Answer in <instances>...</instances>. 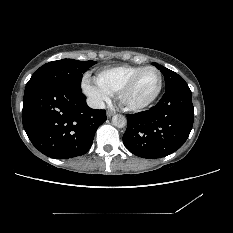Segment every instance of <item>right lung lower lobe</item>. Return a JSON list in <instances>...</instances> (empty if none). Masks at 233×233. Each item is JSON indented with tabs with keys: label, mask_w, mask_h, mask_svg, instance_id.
I'll use <instances>...</instances> for the list:
<instances>
[{
	"label": "right lung lower lobe",
	"mask_w": 233,
	"mask_h": 233,
	"mask_svg": "<svg viewBox=\"0 0 233 233\" xmlns=\"http://www.w3.org/2000/svg\"><path fill=\"white\" fill-rule=\"evenodd\" d=\"M82 90L43 85L24 93L22 122L34 147L48 157L67 159L85 154L105 110L90 108Z\"/></svg>",
	"instance_id": "98d812e1"
}]
</instances>
